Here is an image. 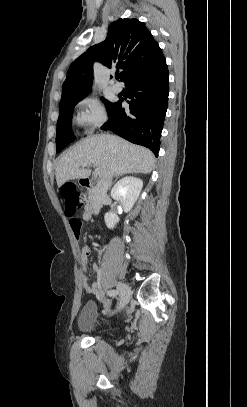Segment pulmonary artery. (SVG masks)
<instances>
[{
    "mask_svg": "<svg viewBox=\"0 0 247 407\" xmlns=\"http://www.w3.org/2000/svg\"><path fill=\"white\" fill-rule=\"evenodd\" d=\"M112 89L114 92L119 93L122 90V86H121V84H119L117 82H113Z\"/></svg>",
    "mask_w": 247,
    "mask_h": 407,
    "instance_id": "pulmonary-artery-1",
    "label": "pulmonary artery"
}]
</instances>
